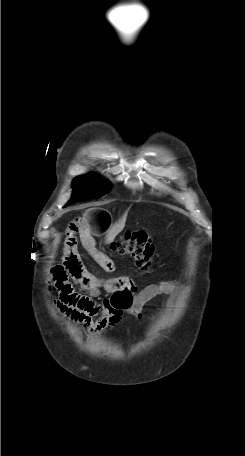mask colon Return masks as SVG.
Segmentation results:
<instances>
[{"label":"colon","instance_id":"colon-1","mask_svg":"<svg viewBox=\"0 0 245 456\" xmlns=\"http://www.w3.org/2000/svg\"><path fill=\"white\" fill-rule=\"evenodd\" d=\"M112 249L120 255L131 257L135 265L148 271L154 259V246L143 231L128 233L122 241L115 242Z\"/></svg>","mask_w":245,"mask_h":456}]
</instances>
